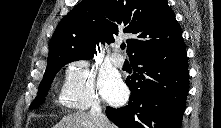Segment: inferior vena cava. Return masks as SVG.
Wrapping results in <instances>:
<instances>
[{
	"label": "inferior vena cava",
	"instance_id": "1",
	"mask_svg": "<svg viewBox=\"0 0 221 128\" xmlns=\"http://www.w3.org/2000/svg\"><path fill=\"white\" fill-rule=\"evenodd\" d=\"M90 115L94 119L97 128H111L107 117L102 113V108L98 101L92 102Z\"/></svg>",
	"mask_w": 221,
	"mask_h": 128
}]
</instances>
